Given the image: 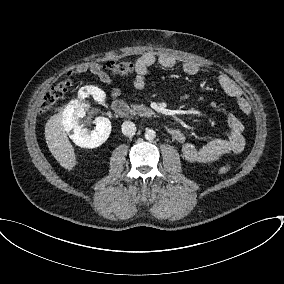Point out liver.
Segmentation results:
<instances>
[{
  "mask_svg": "<svg viewBox=\"0 0 284 284\" xmlns=\"http://www.w3.org/2000/svg\"><path fill=\"white\" fill-rule=\"evenodd\" d=\"M47 146L58 161L67 170H72L77 164L74 148L70 143L63 125V114L51 116L45 125Z\"/></svg>",
  "mask_w": 284,
  "mask_h": 284,
  "instance_id": "obj_1",
  "label": "liver"
}]
</instances>
